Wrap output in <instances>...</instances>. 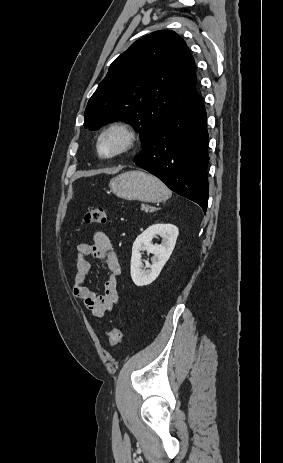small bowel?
I'll use <instances>...</instances> for the list:
<instances>
[{
	"label": "small bowel",
	"mask_w": 283,
	"mask_h": 463,
	"mask_svg": "<svg viewBox=\"0 0 283 463\" xmlns=\"http://www.w3.org/2000/svg\"><path fill=\"white\" fill-rule=\"evenodd\" d=\"M87 257H93L104 263L108 270V279L104 292L98 293L89 287L91 264ZM122 268L110 237L103 231H96L92 243L77 245L76 273L73 283L74 295L81 299L87 309L96 318L104 317L119 303L118 279Z\"/></svg>",
	"instance_id": "obj_1"
}]
</instances>
